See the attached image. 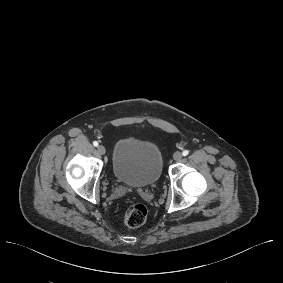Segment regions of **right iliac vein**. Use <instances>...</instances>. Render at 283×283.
I'll return each instance as SVG.
<instances>
[{"mask_svg":"<svg viewBox=\"0 0 283 283\" xmlns=\"http://www.w3.org/2000/svg\"><path fill=\"white\" fill-rule=\"evenodd\" d=\"M97 150H98V152H99L101 155H104L105 152H106V149H105V147H104L103 145H98V146H97Z\"/></svg>","mask_w":283,"mask_h":283,"instance_id":"obj_1","label":"right iliac vein"}]
</instances>
